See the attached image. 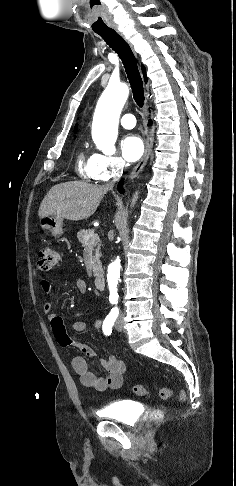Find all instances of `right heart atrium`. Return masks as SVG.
<instances>
[{"label":"right heart atrium","instance_id":"1","mask_svg":"<svg viewBox=\"0 0 236 486\" xmlns=\"http://www.w3.org/2000/svg\"><path fill=\"white\" fill-rule=\"evenodd\" d=\"M124 168V162L120 157L95 153L92 157L91 172L93 179L108 181L118 176Z\"/></svg>","mask_w":236,"mask_h":486}]
</instances>
